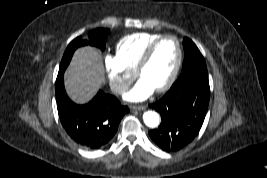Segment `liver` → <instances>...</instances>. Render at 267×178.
<instances>
[{
    "mask_svg": "<svg viewBox=\"0 0 267 178\" xmlns=\"http://www.w3.org/2000/svg\"><path fill=\"white\" fill-rule=\"evenodd\" d=\"M69 96L78 103L90 100L105 80L100 52L92 47L76 50L65 74Z\"/></svg>",
    "mask_w": 267,
    "mask_h": 178,
    "instance_id": "6515ba94",
    "label": "liver"
}]
</instances>
